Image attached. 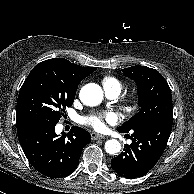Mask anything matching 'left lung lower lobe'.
I'll return each instance as SVG.
<instances>
[{
	"instance_id": "0a47b994",
	"label": "left lung lower lobe",
	"mask_w": 194,
	"mask_h": 194,
	"mask_svg": "<svg viewBox=\"0 0 194 194\" xmlns=\"http://www.w3.org/2000/svg\"><path fill=\"white\" fill-rule=\"evenodd\" d=\"M173 118L140 121L131 129V145L111 160L112 168L128 179L144 176L160 159L167 145ZM120 133H125L121 132Z\"/></svg>"
}]
</instances>
